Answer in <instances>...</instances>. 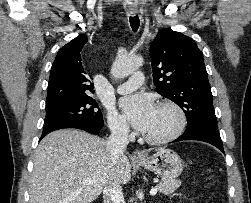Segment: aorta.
I'll return each mask as SVG.
<instances>
[{
    "label": "aorta",
    "mask_w": 251,
    "mask_h": 203,
    "mask_svg": "<svg viewBox=\"0 0 251 203\" xmlns=\"http://www.w3.org/2000/svg\"><path fill=\"white\" fill-rule=\"evenodd\" d=\"M143 63L140 56H128L117 58L111 67V75L114 78H124L136 71Z\"/></svg>",
    "instance_id": "obj_1"
}]
</instances>
